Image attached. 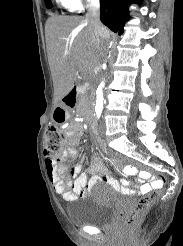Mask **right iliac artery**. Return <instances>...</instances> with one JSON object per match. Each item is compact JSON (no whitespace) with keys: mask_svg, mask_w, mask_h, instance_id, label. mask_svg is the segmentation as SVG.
Segmentation results:
<instances>
[{"mask_svg":"<svg viewBox=\"0 0 183 246\" xmlns=\"http://www.w3.org/2000/svg\"><path fill=\"white\" fill-rule=\"evenodd\" d=\"M101 112H102L101 110H97V111H96V114H97V118H98V119H99L100 116H101Z\"/></svg>","mask_w":183,"mask_h":246,"instance_id":"obj_1","label":"right iliac artery"}]
</instances>
